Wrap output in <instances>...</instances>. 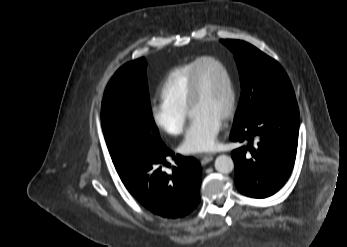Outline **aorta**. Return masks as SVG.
<instances>
[{"label": "aorta", "instance_id": "obj_1", "mask_svg": "<svg viewBox=\"0 0 347 247\" xmlns=\"http://www.w3.org/2000/svg\"><path fill=\"white\" fill-rule=\"evenodd\" d=\"M215 169L223 174H228L234 169V162L228 155H219L215 160Z\"/></svg>", "mask_w": 347, "mask_h": 247}]
</instances>
